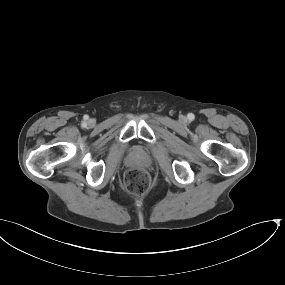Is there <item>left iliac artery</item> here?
Instances as JSON below:
<instances>
[{
  "label": "left iliac artery",
  "mask_w": 285,
  "mask_h": 285,
  "mask_svg": "<svg viewBox=\"0 0 285 285\" xmlns=\"http://www.w3.org/2000/svg\"><path fill=\"white\" fill-rule=\"evenodd\" d=\"M187 117H188L189 121H193L195 118L194 114H192V113H189Z\"/></svg>",
  "instance_id": "obj_1"
}]
</instances>
